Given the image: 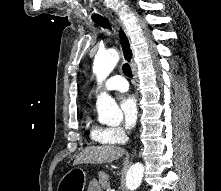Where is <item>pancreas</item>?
<instances>
[{
    "label": "pancreas",
    "mask_w": 221,
    "mask_h": 191,
    "mask_svg": "<svg viewBox=\"0 0 221 191\" xmlns=\"http://www.w3.org/2000/svg\"><path fill=\"white\" fill-rule=\"evenodd\" d=\"M99 183L101 184L102 188H104V189L110 188L109 175L105 172H100L99 173Z\"/></svg>",
    "instance_id": "cf45deb5"
}]
</instances>
